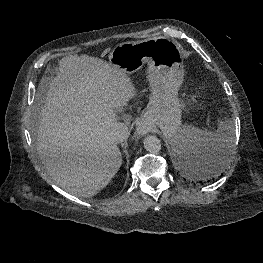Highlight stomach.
<instances>
[{
    "mask_svg": "<svg viewBox=\"0 0 263 263\" xmlns=\"http://www.w3.org/2000/svg\"><path fill=\"white\" fill-rule=\"evenodd\" d=\"M109 62L126 75L138 72L144 64L148 65L151 95L142 120L159 127L167 138H172L180 128L184 108L178 97L184 78L180 45L164 37L125 42L111 51Z\"/></svg>",
    "mask_w": 263,
    "mask_h": 263,
    "instance_id": "1",
    "label": "stomach"
}]
</instances>
